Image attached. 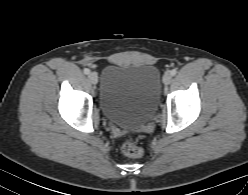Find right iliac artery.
Instances as JSON below:
<instances>
[{"mask_svg":"<svg viewBox=\"0 0 248 195\" xmlns=\"http://www.w3.org/2000/svg\"><path fill=\"white\" fill-rule=\"evenodd\" d=\"M84 73H85L86 75H88V74L90 73V70H89L88 68H85V69H84Z\"/></svg>","mask_w":248,"mask_h":195,"instance_id":"1","label":"right iliac artery"}]
</instances>
